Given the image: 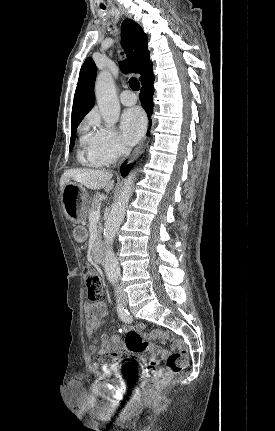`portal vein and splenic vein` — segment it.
<instances>
[{
    "label": "portal vein and splenic vein",
    "mask_w": 275,
    "mask_h": 431,
    "mask_svg": "<svg viewBox=\"0 0 275 431\" xmlns=\"http://www.w3.org/2000/svg\"><path fill=\"white\" fill-rule=\"evenodd\" d=\"M99 219H100V211L99 210H95V211L90 213V215H89L90 221H98Z\"/></svg>",
    "instance_id": "portal-vein-and-splenic-vein-1"
}]
</instances>
